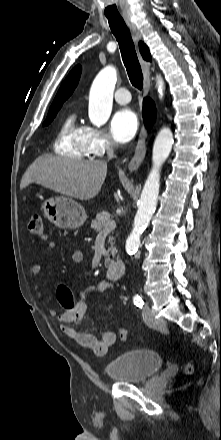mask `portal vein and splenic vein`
<instances>
[{"label":"portal vein and splenic vein","instance_id":"1","mask_svg":"<svg viewBox=\"0 0 221 440\" xmlns=\"http://www.w3.org/2000/svg\"><path fill=\"white\" fill-rule=\"evenodd\" d=\"M116 227V222L114 220L109 221V223L104 227L103 232H110Z\"/></svg>","mask_w":221,"mask_h":440}]
</instances>
